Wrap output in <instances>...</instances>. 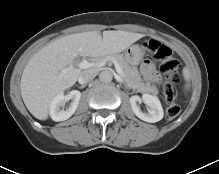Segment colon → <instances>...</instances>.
Here are the masks:
<instances>
[{
  "label": "colon",
  "instance_id": "colon-1",
  "mask_svg": "<svg viewBox=\"0 0 219 174\" xmlns=\"http://www.w3.org/2000/svg\"><path fill=\"white\" fill-rule=\"evenodd\" d=\"M145 48L160 63V71L164 79L163 92L167 103L165 116L167 119H174L180 113V107L175 102L176 87L181 81L180 62L168 46L157 40L147 41Z\"/></svg>",
  "mask_w": 219,
  "mask_h": 174
}]
</instances>
